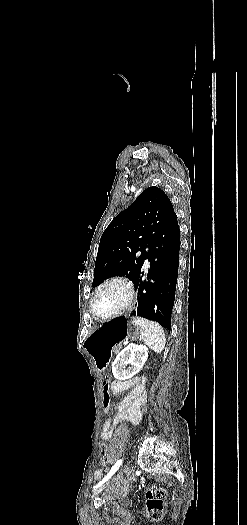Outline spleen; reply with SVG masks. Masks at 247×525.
<instances>
[{
	"label": "spleen",
	"mask_w": 247,
	"mask_h": 525,
	"mask_svg": "<svg viewBox=\"0 0 247 525\" xmlns=\"http://www.w3.org/2000/svg\"><path fill=\"white\" fill-rule=\"evenodd\" d=\"M133 323L140 329L143 341L149 349H152L154 353H162L164 351L166 345L165 333L158 323L142 319V317H133Z\"/></svg>",
	"instance_id": "spleen-1"
}]
</instances>
